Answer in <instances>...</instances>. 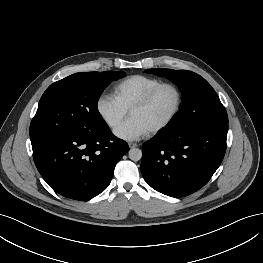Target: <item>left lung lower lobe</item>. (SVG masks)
<instances>
[{
	"mask_svg": "<svg viewBox=\"0 0 263 263\" xmlns=\"http://www.w3.org/2000/svg\"><path fill=\"white\" fill-rule=\"evenodd\" d=\"M228 124L183 133L163 129L142 148L141 172L156 191L184 197L203 187L226 151Z\"/></svg>",
	"mask_w": 263,
	"mask_h": 263,
	"instance_id": "left-lung-lower-lobe-1",
	"label": "left lung lower lobe"
}]
</instances>
